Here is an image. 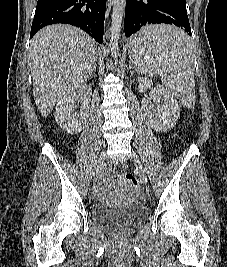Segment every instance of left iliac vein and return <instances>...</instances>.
Wrapping results in <instances>:
<instances>
[{"instance_id": "1", "label": "left iliac vein", "mask_w": 227, "mask_h": 267, "mask_svg": "<svg viewBox=\"0 0 227 267\" xmlns=\"http://www.w3.org/2000/svg\"><path fill=\"white\" fill-rule=\"evenodd\" d=\"M131 160L138 172V175L140 177V179L144 182H147V173H146V169L145 167L143 166L141 160L139 159V157L135 154V153H132L131 154Z\"/></svg>"}]
</instances>
